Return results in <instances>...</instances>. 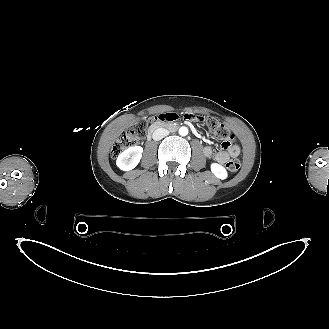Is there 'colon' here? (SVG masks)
Listing matches in <instances>:
<instances>
[{"mask_svg":"<svg viewBox=\"0 0 329 329\" xmlns=\"http://www.w3.org/2000/svg\"><path fill=\"white\" fill-rule=\"evenodd\" d=\"M167 113V112H165ZM164 114V113H162ZM157 118V115L155 116ZM172 122V121H171ZM150 120H142L135 123L133 126L128 128L126 131L122 132L116 139L111 155L112 157H117L125 148L135 144L146 132ZM207 125L209 131L215 135L219 140L222 141L223 146H229L234 135L231 131L221 122L217 120H208ZM226 168L230 172H236L240 168V161L238 158H231L226 163Z\"/></svg>","mask_w":329,"mask_h":329,"instance_id":"5ec220e1","label":"colon"}]
</instances>
